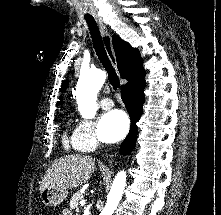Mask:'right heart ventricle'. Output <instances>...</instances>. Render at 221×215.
<instances>
[{
	"mask_svg": "<svg viewBox=\"0 0 221 215\" xmlns=\"http://www.w3.org/2000/svg\"><path fill=\"white\" fill-rule=\"evenodd\" d=\"M63 140H64V146H65L66 148H69L70 145H71L73 148L77 149L76 146H75V142H74V137H73V135L70 137V136H68L67 134H65Z\"/></svg>",
	"mask_w": 221,
	"mask_h": 215,
	"instance_id": "obj_1",
	"label": "right heart ventricle"
}]
</instances>
